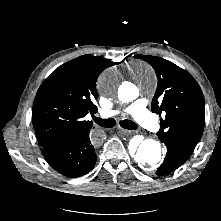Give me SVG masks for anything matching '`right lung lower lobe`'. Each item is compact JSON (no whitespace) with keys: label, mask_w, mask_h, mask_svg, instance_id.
<instances>
[{"label":"right lung lower lobe","mask_w":221,"mask_h":221,"mask_svg":"<svg viewBox=\"0 0 221 221\" xmlns=\"http://www.w3.org/2000/svg\"><path fill=\"white\" fill-rule=\"evenodd\" d=\"M42 154L57 172L68 177H79L88 173L97 161L90 131L44 147Z\"/></svg>","instance_id":"98d812e1"}]
</instances>
